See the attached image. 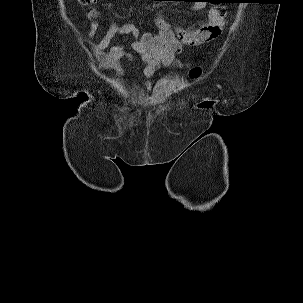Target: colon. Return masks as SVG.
<instances>
[{
    "label": "colon",
    "mask_w": 303,
    "mask_h": 303,
    "mask_svg": "<svg viewBox=\"0 0 303 303\" xmlns=\"http://www.w3.org/2000/svg\"><path fill=\"white\" fill-rule=\"evenodd\" d=\"M80 4L81 5H90L92 4L93 2H95V0H79ZM201 71L199 68H195L191 71V76L196 78L200 75Z\"/></svg>",
    "instance_id": "5ec220e1"
}]
</instances>
